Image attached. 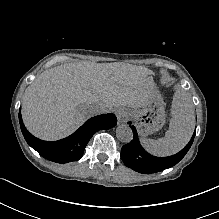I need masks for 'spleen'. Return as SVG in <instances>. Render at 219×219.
Listing matches in <instances>:
<instances>
[{
  "label": "spleen",
  "mask_w": 219,
  "mask_h": 219,
  "mask_svg": "<svg viewBox=\"0 0 219 219\" xmlns=\"http://www.w3.org/2000/svg\"><path fill=\"white\" fill-rule=\"evenodd\" d=\"M171 116L169 128L163 138L141 141L147 153L155 157L173 156L189 143L195 129V113L187 90L179 88L174 93Z\"/></svg>",
  "instance_id": "spleen-1"
}]
</instances>
